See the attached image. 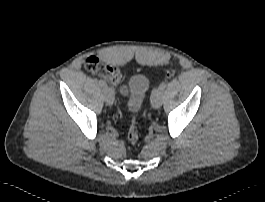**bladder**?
Instances as JSON below:
<instances>
[{
  "instance_id": "bladder-1",
  "label": "bladder",
  "mask_w": 265,
  "mask_h": 202,
  "mask_svg": "<svg viewBox=\"0 0 265 202\" xmlns=\"http://www.w3.org/2000/svg\"><path fill=\"white\" fill-rule=\"evenodd\" d=\"M149 81L144 74H135L130 77L127 86V106L128 109L138 111L146 96Z\"/></svg>"
}]
</instances>
